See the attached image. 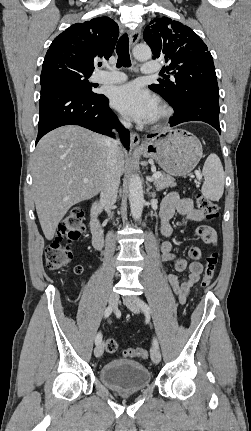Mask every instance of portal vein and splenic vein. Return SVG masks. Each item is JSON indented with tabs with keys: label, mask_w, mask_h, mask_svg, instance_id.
<instances>
[{
	"label": "portal vein and splenic vein",
	"mask_w": 251,
	"mask_h": 431,
	"mask_svg": "<svg viewBox=\"0 0 251 431\" xmlns=\"http://www.w3.org/2000/svg\"><path fill=\"white\" fill-rule=\"evenodd\" d=\"M160 177V173H154L153 175H152V180H154V179H157V178H159ZM199 180H201V178H199ZM83 182L84 183H88V179H84L83 180Z\"/></svg>",
	"instance_id": "1"
}]
</instances>
